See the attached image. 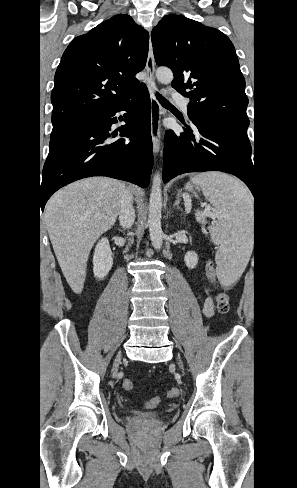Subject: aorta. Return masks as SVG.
<instances>
[{
    "mask_svg": "<svg viewBox=\"0 0 297 488\" xmlns=\"http://www.w3.org/2000/svg\"><path fill=\"white\" fill-rule=\"evenodd\" d=\"M156 77L159 82L168 84L173 80V73L168 68H158ZM162 177L157 172L152 181V189L149 201L148 226L150 231V240L153 247L159 250L162 247L163 232L161 228V211H162Z\"/></svg>",
    "mask_w": 297,
    "mask_h": 488,
    "instance_id": "1",
    "label": "aorta"
}]
</instances>
